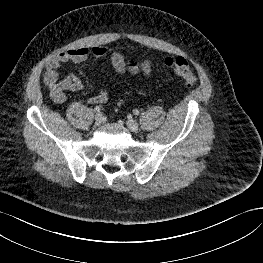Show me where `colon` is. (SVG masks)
Returning a JSON list of instances; mask_svg holds the SVG:
<instances>
[{"mask_svg": "<svg viewBox=\"0 0 263 263\" xmlns=\"http://www.w3.org/2000/svg\"><path fill=\"white\" fill-rule=\"evenodd\" d=\"M164 65L175 72L185 83L191 87L196 83V76L190 69L188 61L183 57H167L164 60Z\"/></svg>", "mask_w": 263, "mask_h": 263, "instance_id": "1", "label": "colon"}]
</instances>
